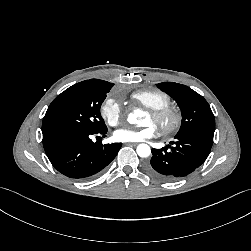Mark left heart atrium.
<instances>
[{"mask_svg":"<svg viewBox=\"0 0 251 251\" xmlns=\"http://www.w3.org/2000/svg\"><path fill=\"white\" fill-rule=\"evenodd\" d=\"M156 134V128L152 124L139 129L121 128L114 132L115 140L119 142H141L152 138Z\"/></svg>","mask_w":251,"mask_h":251,"instance_id":"1","label":"left heart atrium"}]
</instances>
